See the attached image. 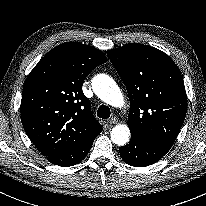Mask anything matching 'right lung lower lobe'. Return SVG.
<instances>
[{"instance_id": "1", "label": "right lung lower lobe", "mask_w": 206, "mask_h": 206, "mask_svg": "<svg viewBox=\"0 0 206 206\" xmlns=\"http://www.w3.org/2000/svg\"><path fill=\"white\" fill-rule=\"evenodd\" d=\"M97 135L92 136L91 138L87 139L80 145L68 151L62 152L54 156L47 157L48 161L55 165H59L63 167L72 166L81 162L89 153L92 144L94 142V139L96 138Z\"/></svg>"}]
</instances>
